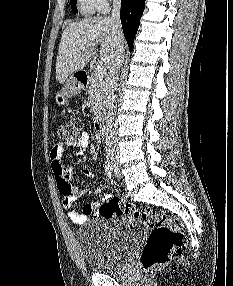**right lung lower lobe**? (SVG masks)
<instances>
[{
  "label": "right lung lower lobe",
  "instance_id": "1",
  "mask_svg": "<svg viewBox=\"0 0 233 286\" xmlns=\"http://www.w3.org/2000/svg\"><path fill=\"white\" fill-rule=\"evenodd\" d=\"M145 8V0H121V24L129 50H133L135 34Z\"/></svg>",
  "mask_w": 233,
  "mask_h": 286
}]
</instances>
